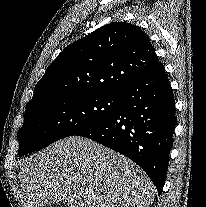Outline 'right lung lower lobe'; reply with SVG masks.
Segmentation results:
<instances>
[{
	"label": "right lung lower lobe",
	"mask_w": 206,
	"mask_h": 207,
	"mask_svg": "<svg viewBox=\"0 0 206 207\" xmlns=\"http://www.w3.org/2000/svg\"><path fill=\"white\" fill-rule=\"evenodd\" d=\"M175 100L161 62L121 93L118 110L77 134L111 148L137 163L158 194L166 180L175 129Z\"/></svg>",
	"instance_id": "1"
}]
</instances>
